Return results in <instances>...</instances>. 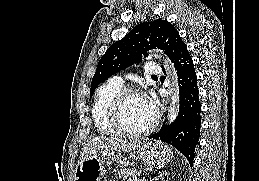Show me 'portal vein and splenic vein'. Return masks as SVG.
Here are the masks:
<instances>
[{
	"mask_svg": "<svg viewBox=\"0 0 259 181\" xmlns=\"http://www.w3.org/2000/svg\"><path fill=\"white\" fill-rule=\"evenodd\" d=\"M128 181H133V180H132V179H129ZM134 181H137V178H135Z\"/></svg>",
	"mask_w": 259,
	"mask_h": 181,
	"instance_id": "18ae733b",
	"label": "portal vein and splenic vein"
}]
</instances>
